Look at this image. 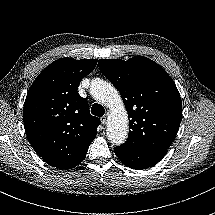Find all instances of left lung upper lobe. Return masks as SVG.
Listing matches in <instances>:
<instances>
[{
    "label": "left lung upper lobe",
    "mask_w": 215,
    "mask_h": 215,
    "mask_svg": "<svg viewBox=\"0 0 215 215\" xmlns=\"http://www.w3.org/2000/svg\"><path fill=\"white\" fill-rule=\"evenodd\" d=\"M99 69L120 92L128 112L129 136L121 146L141 152L167 151L182 120V101L168 73L154 61L134 56L101 59Z\"/></svg>",
    "instance_id": "obj_1"
}]
</instances>
